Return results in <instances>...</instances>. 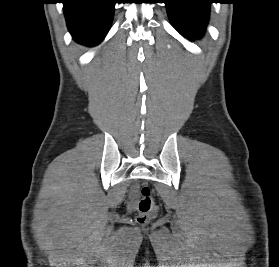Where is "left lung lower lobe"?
I'll use <instances>...</instances> for the list:
<instances>
[{
    "label": "left lung lower lobe",
    "instance_id": "1",
    "mask_svg": "<svg viewBox=\"0 0 279 267\" xmlns=\"http://www.w3.org/2000/svg\"><path fill=\"white\" fill-rule=\"evenodd\" d=\"M164 3L171 22L182 35L199 37L204 33L213 0H165Z\"/></svg>",
    "mask_w": 279,
    "mask_h": 267
}]
</instances>
